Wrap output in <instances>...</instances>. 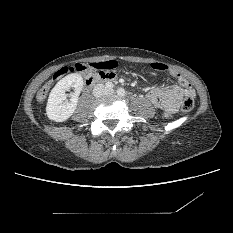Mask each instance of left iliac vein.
<instances>
[{
	"label": "left iliac vein",
	"instance_id": "4c4485c4",
	"mask_svg": "<svg viewBox=\"0 0 233 233\" xmlns=\"http://www.w3.org/2000/svg\"><path fill=\"white\" fill-rule=\"evenodd\" d=\"M108 93H109V94H113V93H114V90H109Z\"/></svg>",
	"mask_w": 233,
	"mask_h": 233
}]
</instances>
